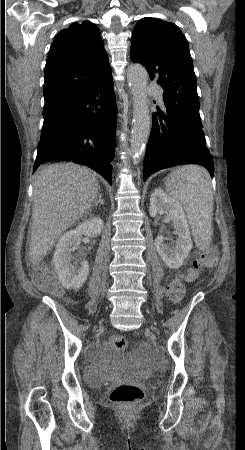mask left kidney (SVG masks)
<instances>
[{
	"mask_svg": "<svg viewBox=\"0 0 245 450\" xmlns=\"http://www.w3.org/2000/svg\"><path fill=\"white\" fill-rule=\"evenodd\" d=\"M149 213L151 217L165 214L167 220L172 221L174 233L178 236L177 240L170 246L164 243L162 235H158L155 239V246L166 266L170 269H178L188 257L193 246L182 206L158 188L151 194Z\"/></svg>",
	"mask_w": 245,
	"mask_h": 450,
	"instance_id": "left-kidney-1",
	"label": "left kidney"
}]
</instances>
